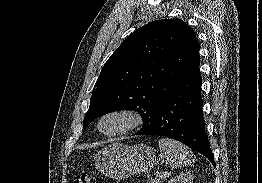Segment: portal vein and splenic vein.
<instances>
[{
  "instance_id": "obj_1",
  "label": "portal vein and splenic vein",
  "mask_w": 262,
  "mask_h": 183,
  "mask_svg": "<svg viewBox=\"0 0 262 183\" xmlns=\"http://www.w3.org/2000/svg\"><path fill=\"white\" fill-rule=\"evenodd\" d=\"M164 176H165V175H164V174H162V175H161V176H159V177H160V178H164Z\"/></svg>"
}]
</instances>
